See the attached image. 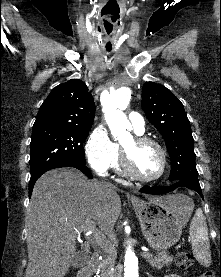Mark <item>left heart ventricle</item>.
<instances>
[{"label":"left heart ventricle","instance_id":"b2bd125f","mask_svg":"<svg viewBox=\"0 0 221 277\" xmlns=\"http://www.w3.org/2000/svg\"><path fill=\"white\" fill-rule=\"evenodd\" d=\"M123 146L132 150V159L135 170L144 177H154L161 169V156L156 147L145 145L133 148L132 139L123 143Z\"/></svg>","mask_w":221,"mask_h":277}]
</instances>
